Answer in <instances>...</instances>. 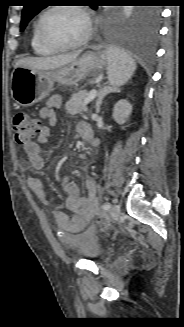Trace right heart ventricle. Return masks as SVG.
<instances>
[{
  "instance_id": "obj_1",
  "label": "right heart ventricle",
  "mask_w": 184,
  "mask_h": 327,
  "mask_svg": "<svg viewBox=\"0 0 184 327\" xmlns=\"http://www.w3.org/2000/svg\"><path fill=\"white\" fill-rule=\"evenodd\" d=\"M31 47L37 55L41 56H49L56 53L55 50L47 47L45 44H43L38 36L37 33V22L34 24L32 33H31Z\"/></svg>"
}]
</instances>
